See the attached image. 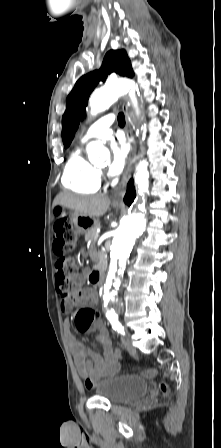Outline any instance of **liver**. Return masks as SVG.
Returning <instances> with one entry per match:
<instances>
[{
  "label": "liver",
  "mask_w": 221,
  "mask_h": 448,
  "mask_svg": "<svg viewBox=\"0 0 221 448\" xmlns=\"http://www.w3.org/2000/svg\"><path fill=\"white\" fill-rule=\"evenodd\" d=\"M110 199L105 195L77 196L71 193H60L53 202V207L61 206L90 218L104 215L109 206Z\"/></svg>",
  "instance_id": "liver-1"
}]
</instances>
